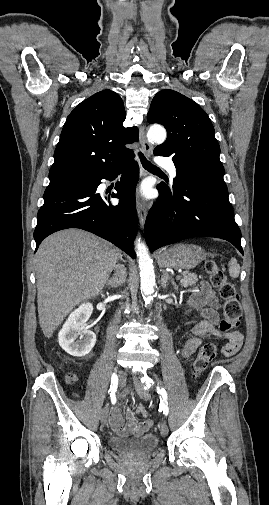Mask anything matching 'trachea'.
Listing matches in <instances>:
<instances>
[{
    "mask_svg": "<svg viewBox=\"0 0 269 505\" xmlns=\"http://www.w3.org/2000/svg\"><path fill=\"white\" fill-rule=\"evenodd\" d=\"M138 155H139L140 161L142 163V166L145 169H147L149 171H158V172L161 171L158 167L153 166V164L146 159V157L144 156V154L142 152H139Z\"/></svg>",
    "mask_w": 269,
    "mask_h": 505,
    "instance_id": "trachea-1",
    "label": "trachea"
}]
</instances>
